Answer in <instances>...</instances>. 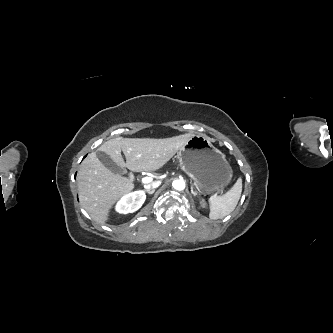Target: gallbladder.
<instances>
[{
	"mask_svg": "<svg viewBox=\"0 0 333 333\" xmlns=\"http://www.w3.org/2000/svg\"><path fill=\"white\" fill-rule=\"evenodd\" d=\"M97 158L104 164L106 167H108L113 173L124 175L126 174V169L123 167H120L116 165L110 158L109 155H107L105 152L98 151L97 152Z\"/></svg>",
	"mask_w": 333,
	"mask_h": 333,
	"instance_id": "obj_1",
	"label": "gallbladder"
}]
</instances>
